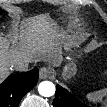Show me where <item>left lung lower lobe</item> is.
<instances>
[{
    "mask_svg": "<svg viewBox=\"0 0 107 107\" xmlns=\"http://www.w3.org/2000/svg\"><path fill=\"white\" fill-rule=\"evenodd\" d=\"M53 107H84V104L75 98L69 91L57 85Z\"/></svg>",
    "mask_w": 107,
    "mask_h": 107,
    "instance_id": "left-lung-lower-lobe-1",
    "label": "left lung lower lobe"
}]
</instances>
